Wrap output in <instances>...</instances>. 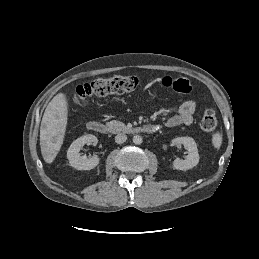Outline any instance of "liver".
I'll return each instance as SVG.
<instances>
[{"mask_svg": "<svg viewBox=\"0 0 259 259\" xmlns=\"http://www.w3.org/2000/svg\"><path fill=\"white\" fill-rule=\"evenodd\" d=\"M68 120V99L58 93L47 105L40 126L41 154L46 163H52L64 141Z\"/></svg>", "mask_w": 259, "mask_h": 259, "instance_id": "liver-1", "label": "liver"}]
</instances>
